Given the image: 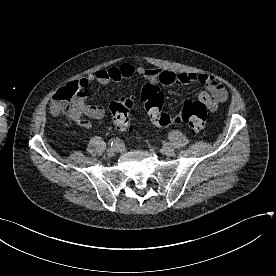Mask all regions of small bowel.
Returning a JSON list of instances; mask_svg holds the SVG:
<instances>
[{"label":"small bowel","mask_w":276,"mask_h":276,"mask_svg":"<svg viewBox=\"0 0 276 276\" xmlns=\"http://www.w3.org/2000/svg\"><path fill=\"white\" fill-rule=\"evenodd\" d=\"M134 74H138L148 81L158 82L164 86L201 84L205 86L206 91H202L198 99L211 111L217 110L228 95L225 86L218 78L212 75L192 72L176 73L159 68L136 67L129 62H123L117 66L98 69L93 74H89L77 81L81 86L82 95L75 102V114L68 118L84 129L91 128L90 121L85 117L96 120L102 119L105 116V109L100 105L87 104L85 100V89L92 83L107 85L111 82L128 79ZM123 98H125V95H122L120 99Z\"/></svg>","instance_id":"1"}]
</instances>
